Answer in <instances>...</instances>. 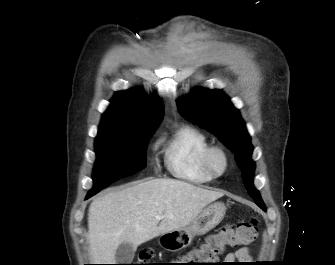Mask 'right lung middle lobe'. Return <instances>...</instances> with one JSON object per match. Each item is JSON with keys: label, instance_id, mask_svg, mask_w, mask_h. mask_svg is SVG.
<instances>
[{"label": "right lung middle lobe", "instance_id": "dd1d6c3e", "mask_svg": "<svg viewBox=\"0 0 335 265\" xmlns=\"http://www.w3.org/2000/svg\"><path fill=\"white\" fill-rule=\"evenodd\" d=\"M154 125L98 133L97 160L93 172L94 195L111 183L141 171L146 166V145Z\"/></svg>", "mask_w": 335, "mask_h": 265}]
</instances>
